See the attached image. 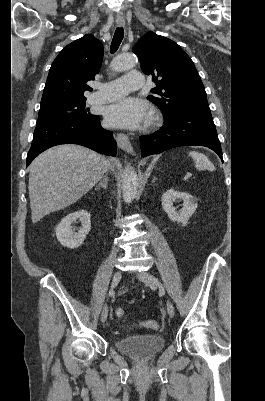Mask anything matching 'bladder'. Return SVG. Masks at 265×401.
<instances>
[{
    "label": "bladder",
    "mask_w": 265,
    "mask_h": 401,
    "mask_svg": "<svg viewBox=\"0 0 265 401\" xmlns=\"http://www.w3.org/2000/svg\"><path fill=\"white\" fill-rule=\"evenodd\" d=\"M164 344L165 339L163 337L148 335L130 336L114 340V345L118 351L139 359L155 356L163 349Z\"/></svg>",
    "instance_id": "obj_1"
}]
</instances>
